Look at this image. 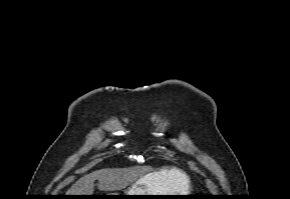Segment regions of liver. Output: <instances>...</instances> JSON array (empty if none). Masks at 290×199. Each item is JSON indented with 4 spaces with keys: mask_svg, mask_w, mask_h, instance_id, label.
<instances>
[{
    "mask_svg": "<svg viewBox=\"0 0 290 199\" xmlns=\"http://www.w3.org/2000/svg\"><path fill=\"white\" fill-rule=\"evenodd\" d=\"M142 172L136 168L118 169L106 168L101 169L81 177L66 195H92L94 191V181L98 180V188L102 191H116L128 186L130 183L138 180ZM150 173L146 176H150ZM145 177V176H144ZM143 178V177H142ZM158 180L165 182V187L173 188L176 191H183L187 188V175L177 168L170 170L163 169L157 173ZM141 179V178H140Z\"/></svg>",
    "mask_w": 290,
    "mask_h": 199,
    "instance_id": "obj_1",
    "label": "liver"
}]
</instances>
